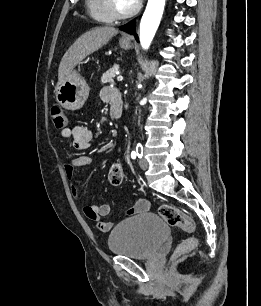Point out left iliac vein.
<instances>
[{
  "label": "left iliac vein",
  "mask_w": 261,
  "mask_h": 306,
  "mask_svg": "<svg viewBox=\"0 0 261 306\" xmlns=\"http://www.w3.org/2000/svg\"><path fill=\"white\" fill-rule=\"evenodd\" d=\"M139 165H140V167H141L143 170H147L148 167H149L148 161H147L146 159H144V158H141V159L139 160Z\"/></svg>",
  "instance_id": "obj_1"
}]
</instances>
